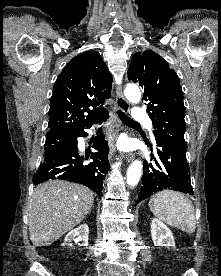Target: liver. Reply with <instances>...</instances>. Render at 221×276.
Here are the masks:
<instances>
[{
	"instance_id": "liver-1",
	"label": "liver",
	"mask_w": 221,
	"mask_h": 276,
	"mask_svg": "<svg viewBox=\"0 0 221 276\" xmlns=\"http://www.w3.org/2000/svg\"><path fill=\"white\" fill-rule=\"evenodd\" d=\"M93 192L80 184L51 180L37 186L28 202L29 234L35 246H48L85 218Z\"/></svg>"
}]
</instances>
